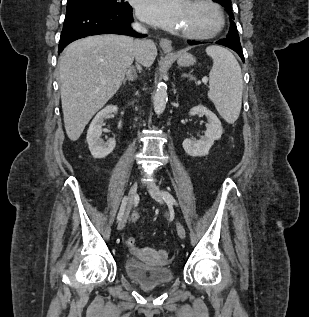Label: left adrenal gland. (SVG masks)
I'll list each match as a JSON object with an SVG mask.
<instances>
[{
	"instance_id": "obj_1",
	"label": "left adrenal gland",
	"mask_w": 309,
	"mask_h": 317,
	"mask_svg": "<svg viewBox=\"0 0 309 317\" xmlns=\"http://www.w3.org/2000/svg\"><path fill=\"white\" fill-rule=\"evenodd\" d=\"M182 77H187V78H189L190 80H192L193 78H192V76L191 75H189V74H182Z\"/></svg>"
}]
</instances>
